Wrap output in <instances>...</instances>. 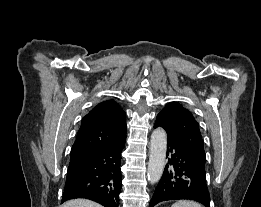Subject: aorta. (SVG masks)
<instances>
[{"instance_id": "aorta-1", "label": "aorta", "mask_w": 261, "mask_h": 207, "mask_svg": "<svg viewBox=\"0 0 261 207\" xmlns=\"http://www.w3.org/2000/svg\"><path fill=\"white\" fill-rule=\"evenodd\" d=\"M150 143L147 176L148 181L151 184H155L160 180L165 166L167 149L166 132L161 128L155 129L152 132Z\"/></svg>"}]
</instances>
